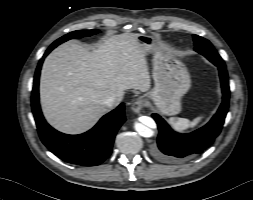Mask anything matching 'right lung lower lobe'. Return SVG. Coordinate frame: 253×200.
<instances>
[{
  "label": "right lung lower lobe",
  "instance_id": "right-lung-lower-lobe-1",
  "mask_svg": "<svg viewBox=\"0 0 253 200\" xmlns=\"http://www.w3.org/2000/svg\"><path fill=\"white\" fill-rule=\"evenodd\" d=\"M56 46L51 45L40 59L32 90V111L39 136L44 145L60 159L82 166L102 163L111 153L116 132L125 122L124 104L103 116L89 131L80 135H66L53 129L45 121L39 104V76L44 58Z\"/></svg>",
  "mask_w": 253,
  "mask_h": 200
}]
</instances>
